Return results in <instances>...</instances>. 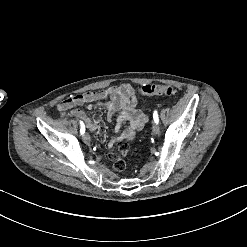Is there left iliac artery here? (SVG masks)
I'll return each mask as SVG.
<instances>
[{
	"label": "left iliac artery",
	"instance_id": "44dca946",
	"mask_svg": "<svg viewBox=\"0 0 247 247\" xmlns=\"http://www.w3.org/2000/svg\"><path fill=\"white\" fill-rule=\"evenodd\" d=\"M153 119H154V122L158 124L159 118H158V113H157V111H154V113H153Z\"/></svg>",
	"mask_w": 247,
	"mask_h": 247
}]
</instances>
